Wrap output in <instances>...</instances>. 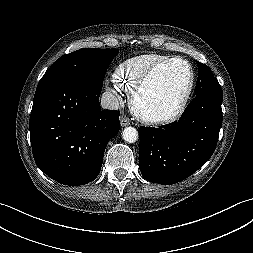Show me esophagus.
<instances>
[{
	"instance_id": "esophagus-1",
	"label": "esophagus",
	"mask_w": 253,
	"mask_h": 253,
	"mask_svg": "<svg viewBox=\"0 0 253 253\" xmlns=\"http://www.w3.org/2000/svg\"><path fill=\"white\" fill-rule=\"evenodd\" d=\"M130 124V120L125 116V115H121L120 116V125L122 127H126Z\"/></svg>"
}]
</instances>
